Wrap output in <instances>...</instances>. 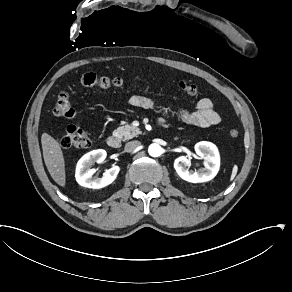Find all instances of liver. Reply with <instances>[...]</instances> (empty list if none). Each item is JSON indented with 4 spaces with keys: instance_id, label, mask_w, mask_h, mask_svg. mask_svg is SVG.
<instances>
[{
    "instance_id": "liver-1",
    "label": "liver",
    "mask_w": 292,
    "mask_h": 292,
    "mask_svg": "<svg viewBox=\"0 0 292 292\" xmlns=\"http://www.w3.org/2000/svg\"><path fill=\"white\" fill-rule=\"evenodd\" d=\"M43 157L53 180L60 186H65V163L59 143L47 133L41 136Z\"/></svg>"
}]
</instances>
